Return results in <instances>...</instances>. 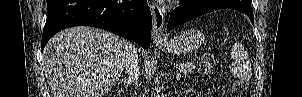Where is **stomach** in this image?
Segmentation results:
<instances>
[{
	"instance_id": "1",
	"label": "stomach",
	"mask_w": 302,
	"mask_h": 97,
	"mask_svg": "<svg viewBox=\"0 0 302 97\" xmlns=\"http://www.w3.org/2000/svg\"><path fill=\"white\" fill-rule=\"evenodd\" d=\"M204 41L203 33L195 29H187L160 43L159 47L168 53L187 55L200 48Z\"/></svg>"
}]
</instances>
